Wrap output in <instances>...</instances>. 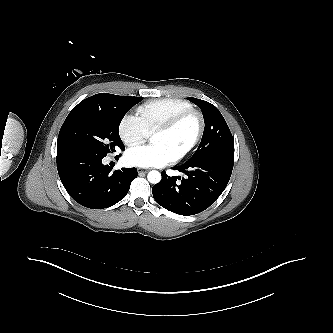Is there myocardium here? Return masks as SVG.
Listing matches in <instances>:
<instances>
[{"mask_svg": "<svg viewBox=\"0 0 333 333\" xmlns=\"http://www.w3.org/2000/svg\"><path fill=\"white\" fill-rule=\"evenodd\" d=\"M190 117H194L197 121V129H196L195 136L187 148H185L182 152L178 153L176 156H174L172 158L171 161L173 163L179 162V161L185 159L186 157H188L199 145V143L202 139L203 133H204V129H205V121H204L203 114L199 110L193 109V108L186 110V111L181 112V113L175 115L174 117L170 118L165 123L158 126L154 131L155 133L156 132H170L173 129H175L179 124H181L183 121H185L186 119H188Z\"/></svg>", "mask_w": 333, "mask_h": 333, "instance_id": "obj_1", "label": "myocardium"}]
</instances>
